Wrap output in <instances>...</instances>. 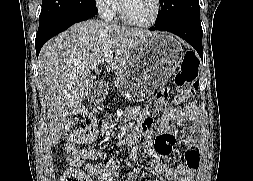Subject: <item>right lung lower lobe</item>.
<instances>
[{
  "label": "right lung lower lobe",
  "instance_id": "obj_1",
  "mask_svg": "<svg viewBox=\"0 0 253 181\" xmlns=\"http://www.w3.org/2000/svg\"><path fill=\"white\" fill-rule=\"evenodd\" d=\"M97 13H92L88 11L75 10L65 12L57 17L43 20L39 22V29L36 34L35 39V48L37 57L42 46L47 42L50 38L57 35L58 33L66 30L74 23L87 20Z\"/></svg>",
  "mask_w": 253,
  "mask_h": 181
}]
</instances>
